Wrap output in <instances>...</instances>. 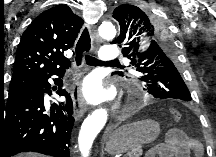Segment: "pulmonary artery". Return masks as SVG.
<instances>
[{"mask_svg": "<svg viewBox=\"0 0 216 157\" xmlns=\"http://www.w3.org/2000/svg\"><path fill=\"white\" fill-rule=\"evenodd\" d=\"M120 56V51L115 45H106L102 47L99 58L102 61H112Z\"/></svg>", "mask_w": 216, "mask_h": 157, "instance_id": "pulmonary-artery-1", "label": "pulmonary artery"}]
</instances>
